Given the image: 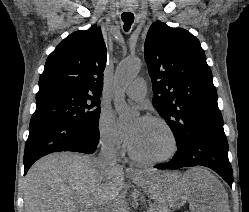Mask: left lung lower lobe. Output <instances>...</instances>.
I'll return each mask as SVG.
<instances>
[{
	"instance_id": "obj_1",
	"label": "left lung lower lobe",
	"mask_w": 249,
	"mask_h": 212,
	"mask_svg": "<svg viewBox=\"0 0 249 212\" xmlns=\"http://www.w3.org/2000/svg\"><path fill=\"white\" fill-rule=\"evenodd\" d=\"M197 165L211 168L232 185L233 172L228 160V142L223 126H206L190 131L185 141L178 146L174 158L155 168L178 169Z\"/></svg>"
}]
</instances>
